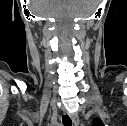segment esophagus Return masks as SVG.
Listing matches in <instances>:
<instances>
[{
  "label": "esophagus",
  "instance_id": "obj_1",
  "mask_svg": "<svg viewBox=\"0 0 127 126\" xmlns=\"http://www.w3.org/2000/svg\"><path fill=\"white\" fill-rule=\"evenodd\" d=\"M69 116H70L73 124L75 126H78L79 125V117H78L77 113H70Z\"/></svg>",
  "mask_w": 127,
  "mask_h": 126
}]
</instances>
